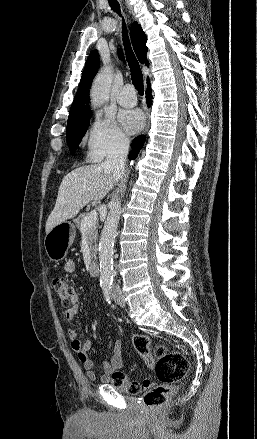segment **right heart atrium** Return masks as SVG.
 <instances>
[{"label":"right heart atrium","instance_id":"right-heart-atrium-1","mask_svg":"<svg viewBox=\"0 0 257 439\" xmlns=\"http://www.w3.org/2000/svg\"><path fill=\"white\" fill-rule=\"evenodd\" d=\"M84 144L86 158L99 162L122 151L127 144V136L114 118L97 114L86 131Z\"/></svg>","mask_w":257,"mask_h":439}]
</instances>
